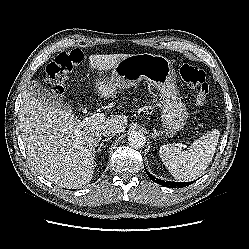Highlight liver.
I'll list each match as a JSON object with an SVG mask.
<instances>
[{
    "instance_id": "liver-1",
    "label": "liver",
    "mask_w": 249,
    "mask_h": 249,
    "mask_svg": "<svg viewBox=\"0 0 249 249\" xmlns=\"http://www.w3.org/2000/svg\"><path fill=\"white\" fill-rule=\"evenodd\" d=\"M128 54L91 55L89 66L98 69L94 90L100 98H117L120 84L113 83V67ZM101 71L105 75L101 76ZM111 106H114L112 104ZM127 117L111 115L98 124L82 125L77 117L65 110L45 104L26 90L19 108V128L27 156L39 174L61 187L76 189L93 177L96 147L102 130L116 126L120 132L127 127Z\"/></svg>"
}]
</instances>
